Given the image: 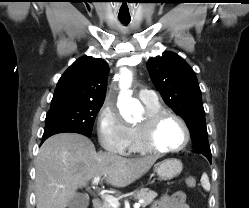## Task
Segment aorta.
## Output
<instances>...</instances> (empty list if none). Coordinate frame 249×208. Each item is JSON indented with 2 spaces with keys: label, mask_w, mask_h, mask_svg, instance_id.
Returning a JSON list of instances; mask_svg holds the SVG:
<instances>
[{
  "label": "aorta",
  "mask_w": 249,
  "mask_h": 208,
  "mask_svg": "<svg viewBox=\"0 0 249 208\" xmlns=\"http://www.w3.org/2000/svg\"><path fill=\"white\" fill-rule=\"evenodd\" d=\"M123 76L129 78L130 73L128 71H123ZM129 83L121 82V92L118 99V108L122 117L131 122L134 119H137L142 114V105L137 100L132 98V92L128 90Z\"/></svg>",
  "instance_id": "aorta-1"
}]
</instances>
